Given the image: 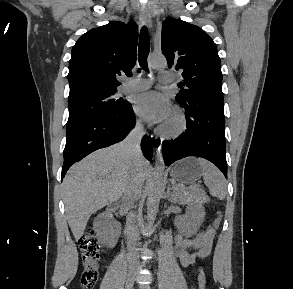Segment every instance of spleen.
Masks as SVG:
<instances>
[{"instance_id": "1", "label": "spleen", "mask_w": 293, "mask_h": 289, "mask_svg": "<svg viewBox=\"0 0 293 289\" xmlns=\"http://www.w3.org/2000/svg\"><path fill=\"white\" fill-rule=\"evenodd\" d=\"M199 164L203 170V180L209 188V192L213 197L220 200L225 199L227 194V183L223 174L210 162L199 158Z\"/></svg>"}]
</instances>
